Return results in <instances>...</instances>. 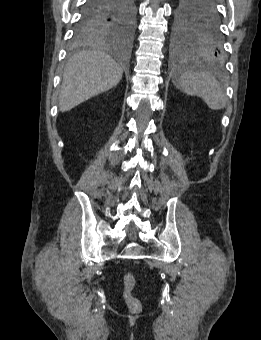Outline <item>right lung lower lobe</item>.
Wrapping results in <instances>:
<instances>
[{
    "label": "right lung lower lobe",
    "instance_id": "1",
    "mask_svg": "<svg viewBox=\"0 0 261 340\" xmlns=\"http://www.w3.org/2000/svg\"><path fill=\"white\" fill-rule=\"evenodd\" d=\"M124 6L125 0H87L80 22L84 23L105 13L117 14L119 9H123Z\"/></svg>",
    "mask_w": 261,
    "mask_h": 340
}]
</instances>
